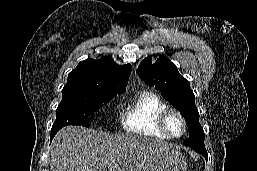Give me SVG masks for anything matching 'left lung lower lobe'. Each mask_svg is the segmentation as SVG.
Returning <instances> with one entry per match:
<instances>
[{"instance_id": "1", "label": "left lung lower lobe", "mask_w": 257, "mask_h": 171, "mask_svg": "<svg viewBox=\"0 0 257 171\" xmlns=\"http://www.w3.org/2000/svg\"><path fill=\"white\" fill-rule=\"evenodd\" d=\"M194 150L197 153L202 154L205 157V159L207 160L208 155H207V151H206L205 147L204 148H195Z\"/></svg>"}]
</instances>
